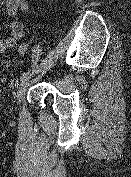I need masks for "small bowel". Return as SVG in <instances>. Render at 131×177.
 I'll return each instance as SVG.
<instances>
[{"mask_svg":"<svg viewBox=\"0 0 131 177\" xmlns=\"http://www.w3.org/2000/svg\"><path fill=\"white\" fill-rule=\"evenodd\" d=\"M6 12L10 18L9 31L10 36L6 39L0 38V53L8 48L15 47L24 37V27L19 20L20 12H27L29 4L27 0H5ZM27 49V44L22 43L19 46V52L24 53Z\"/></svg>","mask_w":131,"mask_h":177,"instance_id":"obj_1","label":"small bowel"}]
</instances>
